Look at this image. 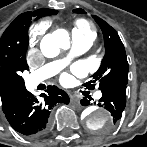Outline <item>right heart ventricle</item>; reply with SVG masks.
I'll use <instances>...</instances> for the list:
<instances>
[{
  "mask_svg": "<svg viewBox=\"0 0 147 147\" xmlns=\"http://www.w3.org/2000/svg\"><path fill=\"white\" fill-rule=\"evenodd\" d=\"M73 35L93 42L96 37V31L89 21L85 19H78L75 22Z\"/></svg>",
  "mask_w": 147,
  "mask_h": 147,
  "instance_id": "e07e8e85",
  "label": "right heart ventricle"
}]
</instances>
